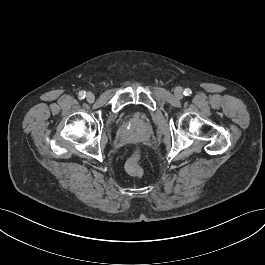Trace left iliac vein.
I'll return each mask as SVG.
<instances>
[{"mask_svg":"<svg viewBox=\"0 0 265 265\" xmlns=\"http://www.w3.org/2000/svg\"><path fill=\"white\" fill-rule=\"evenodd\" d=\"M175 96L177 97V98H182V96H183V90H182V88L181 87H177L176 89H175Z\"/></svg>","mask_w":265,"mask_h":265,"instance_id":"left-iliac-vein-1","label":"left iliac vein"}]
</instances>
